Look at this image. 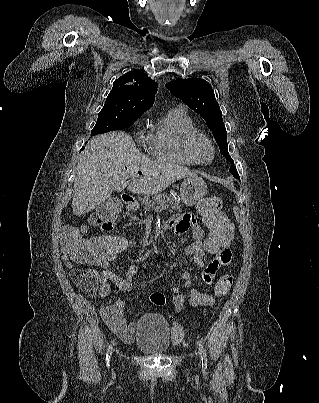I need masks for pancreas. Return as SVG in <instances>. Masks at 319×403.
Instances as JSON below:
<instances>
[{
    "label": "pancreas",
    "mask_w": 319,
    "mask_h": 403,
    "mask_svg": "<svg viewBox=\"0 0 319 403\" xmlns=\"http://www.w3.org/2000/svg\"><path fill=\"white\" fill-rule=\"evenodd\" d=\"M169 204L171 208L175 211H181L182 206L180 202L174 199L170 194L161 193L152 197L145 203V211L154 210L158 206Z\"/></svg>",
    "instance_id": "cf45deb5"
}]
</instances>
